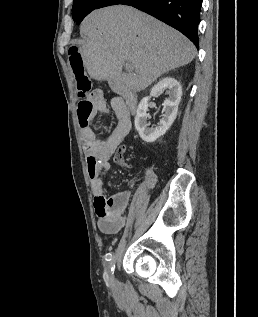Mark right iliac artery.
<instances>
[{"instance_id":"obj_1","label":"right iliac artery","mask_w":258,"mask_h":317,"mask_svg":"<svg viewBox=\"0 0 258 317\" xmlns=\"http://www.w3.org/2000/svg\"><path fill=\"white\" fill-rule=\"evenodd\" d=\"M115 264H116V255L113 256L111 263H110L111 279H110V281H106V285L110 289H112L114 286Z\"/></svg>"}]
</instances>
